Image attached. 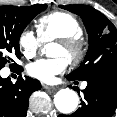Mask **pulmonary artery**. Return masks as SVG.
<instances>
[{"instance_id":"e3ab8cb5","label":"pulmonary artery","mask_w":117,"mask_h":117,"mask_svg":"<svg viewBox=\"0 0 117 117\" xmlns=\"http://www.w3.org/2000/svg\"><path fill=\"white\" fill-rule=\"evenodd\" d=\"M82 87L85 88V87H86V83H84V84L82 85Z\"/></svg>"}]
</instances>
